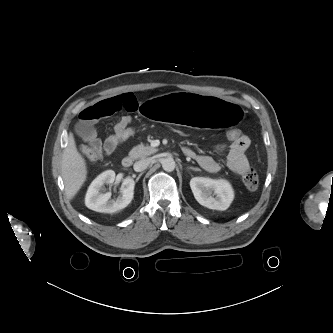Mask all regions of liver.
<instances>
[{"instance_id":"liver-1","label":"liver","mask_w":333,"mask_h":333,"mask_svg":"<svg viewBox=\"0 0 333 333\" xmlns=\"http://www.w3.org/2000/svg\"><path fill=\"white\" fill-rule=\"evenodd\" d=\"M86 176V162L76 148L73 134L69 133L62 157V177L69 197L72 198L77 194L85 182Z\"/></svg>"}]
</instances>
